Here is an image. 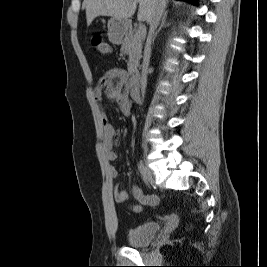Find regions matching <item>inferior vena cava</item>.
I'll return each instance as SVG.
<instances>
[{
    "label": "inferior vena cava",
    "instance_id": "1",
    "mask_svg": "<svg viewBox=\"0 0 267 267\" xmlns=\"http://www.w3.org/2000/svg\"><path fill=\"white\" fill-rule=\"evenodd\" d=\"M162 12L163 10L160 7H158L149 22L150 28H149V33L147 36L145 49H144V58H143V64H142L141 92L143 96L145 93L146 82H147L148 66H149L150 55H151V43H152L153 36L155 34V30L159 24Z\"/></svg>",
    "mask_w": 267,
    "mask_h": 267
}]
</instances>
